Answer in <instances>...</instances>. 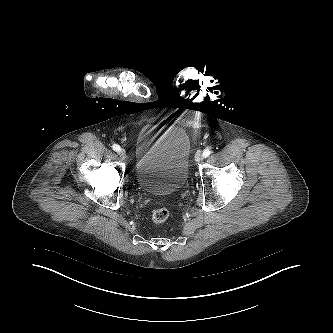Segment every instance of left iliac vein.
<instances>
[{"mask_svg": "<svg viewBox=\"0 0 333 333\" xmlns=\"http://www.w3.org/2000/svg\"><path fill=\"white\" fill-rule=\"evenodd\" d=\"M203 158H204V157H203V154H201V152H197V153L195 154V162H196V163L201 162V160H202Z\"/></svg>", "mask_w": 333, "mask_h": 333, "instance_id": "obj_1", "label": "left iliac vein"}]
</instances>
